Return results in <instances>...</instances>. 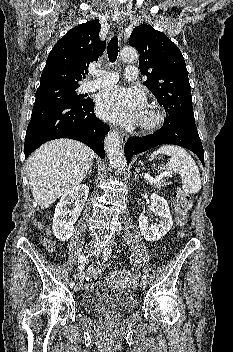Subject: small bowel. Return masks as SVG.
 I'll list each match as a JSON object with an SVG mask.
<instances>
[{
	"instance_id": "small-bowel-1",
	"label": "small bowel",
	"mask_w": 233,
	"mask_h": 352,
	"mask_svg": "<svg viewBox=\"0 0 233 352\" xmlns=\"http://www.w3.org/2000/svg\"><path fill=\"white\" fill-rule=\"evenodd\" d=\"M84 266L80 265L79 266V271L76 275V279L79 281L80 284H85V275H84Z\"/></svg>"
}]
</instances>
